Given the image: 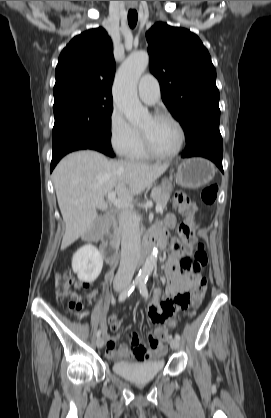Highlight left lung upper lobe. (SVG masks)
I'll list each match as a JSON object with an SVG mask.
<instances>
[{"label": "left lung upper lobe", "mask_w": 271, "mask_h": 418, "mask_svg": "<svg viewBox=\"0 0 271 418\" xmlns=\"http://www.w3.org/2000/svg\"><path fill=\"white\" fill-rule=\"evenodd\" d=\"M146 37L151 72L159 80L163 102L184 129L186 143L198 132L219 129L216 70L198 36L159 22Z\"/></svg>", "instance_id": "obj_1"}]
</instances>
